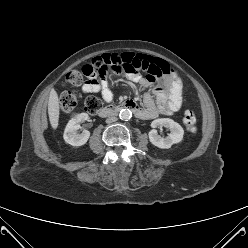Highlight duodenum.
Listing matches in <instances>:
<instances>
[{"label": "duodenum", "instance_id": "duodenum-1", "mask_svg": "<svg viewBox=\"0 0 248 248\" xmlns=\"http://www.w3.org/2000/svg\"><path fill=\"white\" fill-rule=\"evenodd\" d=\"M126 108L132 110L135 114H139L140 112V107L137 104H135L132 101H127L117 106L104 107L99 111L98 115L99 117L102 118L113 116L118 114L122 109H126Z\"/></svg>", "mask_w": 248, "mask_h": 248}]
</instances>
